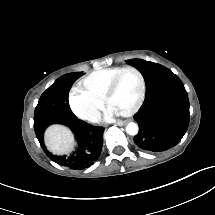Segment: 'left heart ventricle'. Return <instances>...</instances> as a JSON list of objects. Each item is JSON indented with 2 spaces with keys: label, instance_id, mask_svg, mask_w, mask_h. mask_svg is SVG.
<instances>
[{
  "label": "left heart ventricle",
  "instance_id": "b2bd125f",
  "mask_svg": "<svg viewBox=\"0 0 215 215\" xmlns=\"http://www.w3.org/2000/svg\"><path fill=\"white\" fill-rule=\"evenodd\" d=\"M135 88V77L130 73H123L119 83L109 97L111 104L118 108L130 106L134 97Z\"/></svg>",
  "mask_w": 215,
  "mask_h": 215
}]
</instances>
